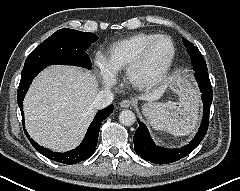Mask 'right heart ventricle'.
Wrapping results in <instances>:
<instances>
[{
    "label": "right heart ventricle",
    "mask_w": 240,
    "mask_h": 191,
    "mask_svg": "<svg viewBox=\"0 0 240 191\" xmlns=\"http://www.w3.org/2000/svg\"><path fill=\"white\" fill-rule=\"evenodd\" d=\"M157 35V33L141 32L111 44L107 59L114 72H126L145 45Z\"/></svg>",
    "instance_id": "e07e8e85"
}]
</instances>
